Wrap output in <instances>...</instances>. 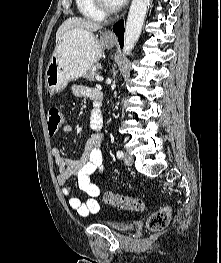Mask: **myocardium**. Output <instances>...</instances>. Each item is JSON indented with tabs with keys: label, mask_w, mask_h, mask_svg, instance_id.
<instances>
[{
	"label": "myocardium",
	"mask_w": 221,
	"mask_h": 263,
	"mask_svg": "<svg viewBox=\"0 0 221 263\" xmlns=\"http://www.w3.org/2000/svg\"><path fill=\"white\" fill-rule=\"evenodd\" d=\"M94 6L104 15H112L118 12L121 5L109 6L106 4L105 0H92Z\"/></svg>",
	"instance_id": "f54148a6"
}]
</instances>
